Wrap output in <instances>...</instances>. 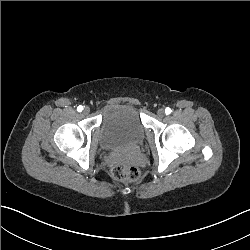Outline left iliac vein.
<instances>
[{
	"label": "left iliac vein",
	"instance_id": "4c4485c4",
	"mask_svg": "<svg viewBox=\"0 0 250 250\" xmlns=\"http://www.w3.org/2000/svg\"><path fill=\"white\" fill-rule=\"evenodd\" d=\"M157 115L159 116V117H163L164 115H165V111H164V109H159L158 111H157Z\"/></svg>",
	"mask_w": 250,
	"mask_h": 250
}]
</instances>
